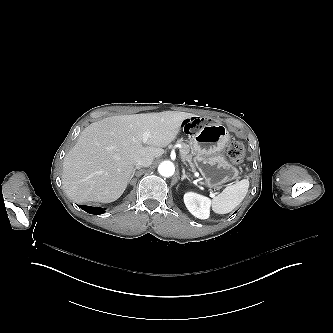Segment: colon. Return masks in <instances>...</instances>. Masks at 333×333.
Segmentation results:
<instances>
[{"instance_id": "colon-1", "label": "colon", "mask_w": 333, "mask_h": 333, "mask_svg": "<svg viewBox=\"0 0 333 333\" xmlns=\"http://www.w3.org/2000/svg\"><path fill=\"white\" fill-rule=\"evenodd\" d=\"M245 153L244 146L239 141H232L228 146V156L236 162H241Z\"/></svg>"}]
</instances>
